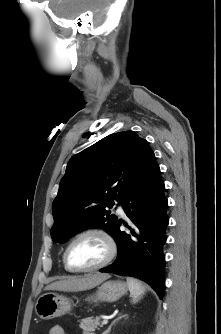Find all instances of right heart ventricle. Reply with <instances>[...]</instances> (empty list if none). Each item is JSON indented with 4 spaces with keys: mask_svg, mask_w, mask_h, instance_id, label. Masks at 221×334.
<instances>
[{
    "mask_svg": "<svg viewBox=\"0 0 221 334\" xmlns=\"http://www.w3.org/2000/svg\"><path fill=\"white\" fill-rule=\"evenodd\" d=\"M63 264H64V261H63ZM64 267H65V269L67 270V271H70L66 266H65V264H64ZM71 272V271H70Z\"/></svg>",
    "mask_w": 221,
    "mask_h": 334,
    "instance_id": "right-heart-ventricle-1",
    "label": "right heart ventricle"
}]
</instances>
